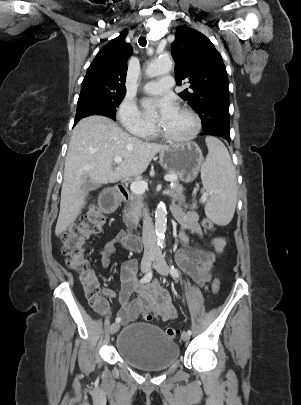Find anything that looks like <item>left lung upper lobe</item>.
<instances>
[{
    "instance_id": "left-lung-upper-lobe-1",
    "label": "left lung upper lobe",
    "mask_w": 301,
    "mask_h": 405,
    "mask_svg": "<svg viewBox=\"0 0 301 405\" xmlns=\"http://www.w3.org/2000/svg\"><path fill=\"white\" fill-rule=\"evenodd\" d=\"M171 51L177 84L181 86L182 80L190 83L179 96L199 114L204 133L230 132L227 72L212 42L184 26L176 31Z\"/></svg>"
}]
</instances>
